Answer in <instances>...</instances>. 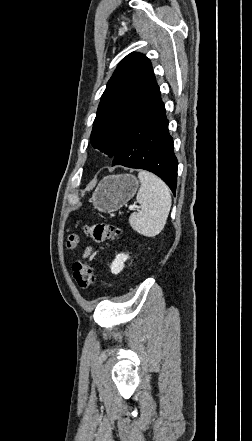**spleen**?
Instances as JSON below:
<instances>
[{
    "label": "spleen",
    "mask_w": 252,
    "mask_h": 441,
    "mask_svg": "<svg viewBox=\"0 0 252 441\" xmlns=\"http://www.w3.org/2000/svg\"><path fill=\"white\" fill-rule=\"evenodd\" d=\"M138 178L141 186L136 201L141 209L130 215L129 223L139 234L154 237L166 224L171 208L170 190L160 178L150 172L140 170Z\"/></svg>",
    "instance_id": "spleen-1"
}]
</instances>
